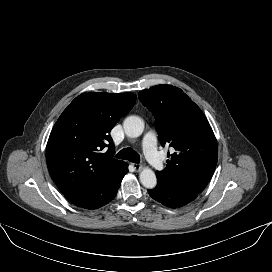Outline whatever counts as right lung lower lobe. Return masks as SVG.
Instances as JSON below:
<instances>
[{
	"instance_id": "right-lung-lower-lobe-1",
	"label": "right lung lower lobe",
	"mask_w": 272,
	"mask_h": 272,
	"mask_svg": "<svg viewBox=\"0 0 272 272\" xmlns=\"http://www.w3.org/2000/svg\"><path fill=\"white\" fill-rule=\"evenodd\" d=\"M128 172V164L121 162L95 186L85 191L64 194L74 205L84 209H97L110 202L117 194L123 177Z\"/></svg>"
}]
</instances>
